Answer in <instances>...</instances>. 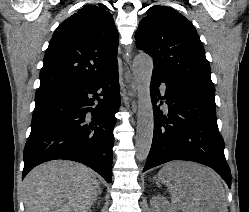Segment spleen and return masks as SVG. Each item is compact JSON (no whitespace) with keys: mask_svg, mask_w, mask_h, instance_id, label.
Returning <instances> with one entry per match:
<instances>
[{"mask_svg":"<svg viewBox=\"0 0 249 212\" xmlns=\"http://www.w3.org/2000/svg\"><path fill=\"white\" fill-rule=\"evenodd\" d=\"M162 170H160L159 174H161ZM158 174V176H159ZM160 182H163V180H161V178H159ZM163 184H166V182H163Z\"/></svg>","mask_w":249,"mask_h":212,"instance_id":"3e777b00","label":"spleen"}]
</instances>
